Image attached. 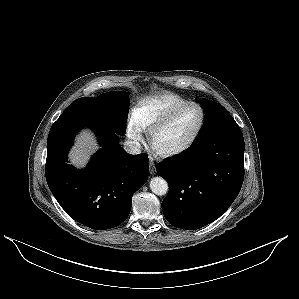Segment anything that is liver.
I'll use <instances>...</instances> for the list:
<instances>
[{
	"label": "liver",
	"mask_w": 299,
	"mask_h": 299,
	"mask_svg": "<svg viewBox=\"0 0 299 299\" xmlns=\"http://www.w3.org/2000/svg\"><path fill=\"white\" fill-rule=\"evenodd\" d=\"M97 149L92 135L83 132L77 138V144L69 153L71 164L76 167H84L89 159V155Z\"/></svg>",
	"instance_id": "obj_1"
}]
</instances>
